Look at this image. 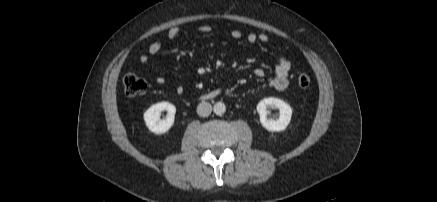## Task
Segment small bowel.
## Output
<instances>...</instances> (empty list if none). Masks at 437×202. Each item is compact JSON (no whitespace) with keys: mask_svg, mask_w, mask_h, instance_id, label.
<instances>
[{"mask_svg":"<svg viewBox=\"0 0 437 202\" xmlns=\"http://www.w3.org/2000/svg\"><path fill=\"white\" fill-rule=\"evenodd\" d=\"M199 31L201 33H209L212 31V28L211 26L203 25L199 28ZM179 34H180V29L178 27H172L169 29L167 33V37L169 40H174L175 38L178 37ZM230 36L233 39H241L243 35L239 30H233L230 33ZM246 39L251 44L257 42L267 43L269 40L267 34L265 33H259V34L250 33L247 35ZM161 50H162V43L160 41L153 42L148 47V55L146 54L141 55L139 57V62L142 65H146L149 61V56L157 55ZM290 69H291L290 61L285 57L280 56L274 68V77L268 83V87L278 91L285 90L289 85L288 77H289ZM254 75L256 77H263L265 75V71L261 68H257L254 71ZM156 82L162 85L165 83V78L163 76H158L156 78ZM175 91L176 93L181 94L183 92V87L179 85L176 87Z\"/></svg>","mask_w":437,"mask_h":202,"instance_id":"1","label":"small bowel"}]
</instances>
